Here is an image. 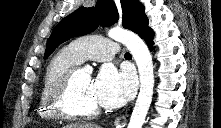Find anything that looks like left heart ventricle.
I'll use <instances>...</instances> for the list:
<instances>
[{"instance_id": "left-heart-ventricle-1", "label": "left heart ventricle", "mask_w": 221, "mask_h": 128, "mask_svg": "<svg viewBox=\"0 0 221 128\" xmlns=\"http://www.w3.org/2000/svg\"><path fill=\"white\" fill-rule=\"evenodd\" d=\"M68 103L73 109L83 111L93 110L99 106L91 91L90 74L82 69L76 75Z\"/></svg>"}]
</instances>
